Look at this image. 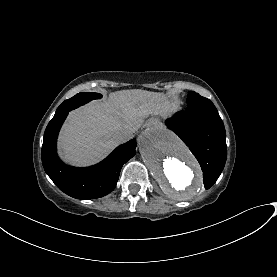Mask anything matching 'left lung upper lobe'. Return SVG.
Returning <instances> with one entry per match:
<instances>
[{
  "label": "left lung upper lobe",
  "instance_id": "left-lung-upper-lobe-1",
  "mask_svg": "<svg viewBox=\"0 0 277 277\" xmlns=\"http://www.w3.org/2000/svg\"><path fill=\"white\" fill-rule=\"evenodd\" d=\"M188 107L182 113L189 115H219L214 104L207 98L192 91L187 98Z\"/></svg>",
  "mask_w": 277,
  "mask_h": 277
}]
</instances>
